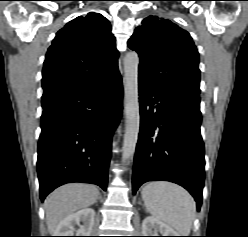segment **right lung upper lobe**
Masks as SVG:
<instances>
[{
  "mask_svg": "<svg viewBox=\"0 0 248 237\" xmlns=\"http://www.w3.org/2000/svg\"><path fill=\"white\" fill-rule=\"evenodd\" d=\"M109 21L94 12L79 16L56 34L42 72L43 96L81 88L118 70Z\"/></svg>",
  "mask_w": 248,
  "mask_h": 237,
  "instance_id": "1",
  "label": "right lung upper lobe"
}]
</instances>
